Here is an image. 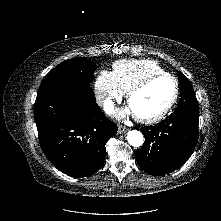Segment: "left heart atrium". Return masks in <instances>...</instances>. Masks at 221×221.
<instances>
[{
  "mask_svg": "<svg viewBox=\"0 0 221 221\" xmlns=\"http://www.w3.org/2000/svg\"><path fill=\"white\" fill-rule=\"evenodd\" d=\"M124 113H125V114H134V112L132 111V109L130 108V106H129V108H127V109L125 110Z\"/></svg>",
  "mask_w": 221,
  "mask_h": 221,
  "instance_id": "left-heart-atrium-1",
  "label": "left heart atrium"
}]
</instances>
